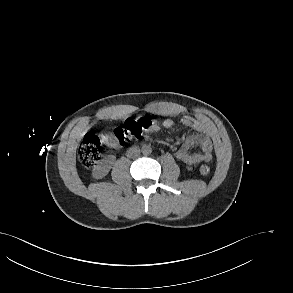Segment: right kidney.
<instances>
[{
  "instance_id": "1",
  "label": "right kidney",
  "mask_w": 293,
  "mask_h": 293,
  "mask_svg": "<svg viewBox=\"0 0 293 293\" xmlns=\"http://www.w3.org/2000/svg\"><path fill=\"white\" fill-rule=\"evenodd\" d=\"M108 170H109L108 165L103 163L95 169V176L101 177L105 175L108 172Z\"/></svg>"
}]
</instances>
